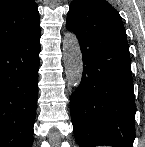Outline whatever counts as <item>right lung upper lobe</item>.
Instances as JSON below:
<instances>
[{
  "label": "right lung upper lobe",
  "mask_w": 145,
  "mask_h": 147,
  "mask_svg": "<svg viewBox=\"0 0 145 147\" xmlns=\"http://www.w3.org/2000/svg\"><path fill=\"white\" fill-rule=\"evenodd\" d=\"M34 0H0V46L40 29Z\"/></svg>",
  "instance_id": "right-lung-upper-lobe-1"
}]
</instances>
